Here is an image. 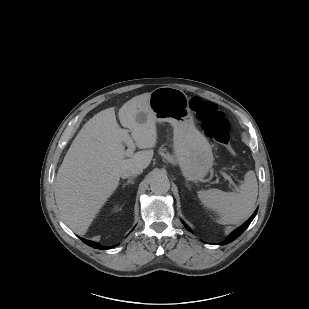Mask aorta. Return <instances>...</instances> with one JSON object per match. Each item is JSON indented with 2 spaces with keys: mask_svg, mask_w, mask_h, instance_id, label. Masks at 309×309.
Listing matches in <instances>:
<instances>
[{
  "mask_svg": "<svg viewBox=\"0 0 309 309\" xmlns=\"http://www.w3.org/2000/svg\"><path fill=\"white\" fill-rule=\"evenodd\" d=\"M151 191L155 194H165L170 189V182L166 176L156 175L150 182Z\"/></svg>",
  "mask_w": 309,
  "mask_h": 309,
  "instance_id": "1",
  "label": "aorta"
}]
</instances>
